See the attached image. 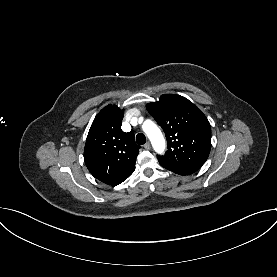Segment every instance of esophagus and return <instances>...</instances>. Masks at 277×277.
I'll return each mask as SVG.
<instances>
[{"instance_id": "1", "label": "esophagus", "mask_w": 277, "mask_h": 277, "mask_svg": "<svg viewBox=\"0 0 277 277\" xmlns=\"http://www.w3.org/2000/svg\"><path fill=\"white\" fill-rule=\"evenodd\" d=\"M144 148H145L146 150H150V148H151L150 142H146V143L144 144Z\"/></svg>"}]
</instances>
